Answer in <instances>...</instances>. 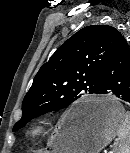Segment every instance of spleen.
<instances>
[{"label": "spleen", "mask_w": 130, "mask_h": 153, "mask_svg": "<svg viewBox=\"0 0 130 153\" xmlns=\"http://www.w3.org/2000/svg\"><path fill=\"white\" fill-rule=\"evenodd\" d=\"M118 138L114 153H130V112H126L124 121L118 129Z\"/></svg>", "instance_id": "3e777b00"}]
</instances>
